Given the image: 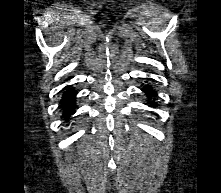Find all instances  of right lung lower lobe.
<instances>
[{
    "instance_id": "obj_1",
    "label": "right lung lower lobe",
    "mask_w": 221,
    "mask_h": 193,
    "mask_svg": "<svg viewBox=\"0 0 221 193\" xmlns=\"http://www.w3.org/2000/svg\"><path fill=\"white\" fill-rule=\"evenodd\" d=\"M63 95L60 101V108L63 111V118L68 121L69 117L73 115L76 111V92L69 86L65 87L63 90Z\"/></svg>"
}]
</instances>
